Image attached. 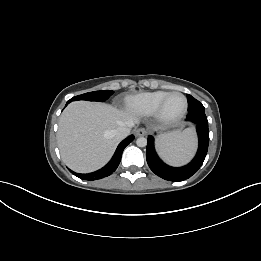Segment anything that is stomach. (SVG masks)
I'll return each mask as SVG.
<instances>
[{
    "label": "stomach",
    "mask_w": 261,
    "mask_h": 261,
    "mask_svg": "<svg viewBox=\"0 0 261 261\" xmlns=\"http://www.w3.org/2000/svg\"><path fill=\"white\" fill-rule=\"evenodd\" d=\"M179 130H174V131H172V132H169V133H166V134H170V133H173V132H178ZM166 134H164V135H166Z\"/></svg>",
    "instance_id": "1"
}]
</instances>
